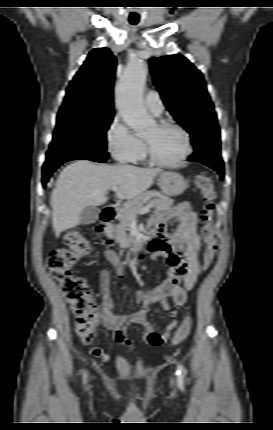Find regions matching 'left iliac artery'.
Listing matches in <instances>:
<instances>
[{
    "label": "left iliac artery",
    "instance_id": "left-iliac-artery-1",
    "mask_svg": "<svg viewBox=\"0 0 273 430\" xmlns=\"http://www.w3.org/2000/svg\"><path fill=\"white\" fill-rule=\"evenodd\" d=\"M186 373H187V371H186L185 367L182 364H179L178 369L176 371V374L178 376V382L180 384L184 383V378H185Z\"/></svg>",
    "mask_w": 273,
    "mask_h": 430
}]
</instances>
